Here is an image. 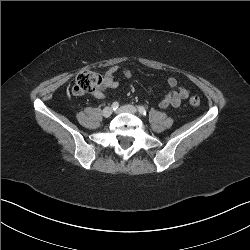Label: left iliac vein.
<instances>
[{"label": "left iliac vein", "mask_w": 250, "mask_h": 250, "mask_svg": "<svg viewBox=\"0 0 250 250\" xmlns=\"http://www.w3.org/2000/svg\"><path fill=\"white\" fill-rule=\"evenodd\" d=\"M117 112L119 113H131V114H136L137 113V109L135 106L132 105H124L121 106Z\"/></svg>", "instance_id": "1"}]
</instances>
